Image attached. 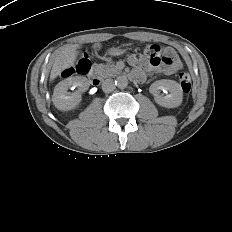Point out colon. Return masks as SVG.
<instances>
[{
  "instance_id": "5ec220e1",
  "label": "colon",
  "mask_w": 232,
  "mask_h": 232,
  "mask_svg": "<svg viewBox=\"0 0 232 232\" xmlns=\"http://www.w3.org/2000/svg\"><path fill=\"white\" fill-rule=\"evenodd\" d=\"M145 56L154 66H164L175 69L174 57L168 54L164 48L158 45H153L147 48ZM90 57L91 55L89 53L83 54L74 67L66 68L63 71L62 76L68 77L75 73L85 75L90 68ZM179 81L183 92L189 93L192 88L190 76L187 73L182 72L179 74Z\"/></svg>"
}]
</instances>
